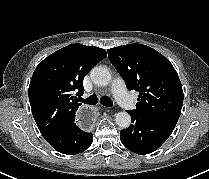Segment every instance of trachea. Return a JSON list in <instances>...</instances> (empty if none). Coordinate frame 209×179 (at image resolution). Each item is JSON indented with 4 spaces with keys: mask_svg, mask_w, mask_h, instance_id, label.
Listing matches in <instances>:
<instances>
[{
    "mask_svg": "<svg viewBox=\"0 0 209 179\" xmlns=\"http://www.w3.org/2000/svg\"><path fill=\"white\" fill-rule=\"evenodd\" d=\"M81 101L85 104L96 105L98 103V98L95 94H93V95L89 96L87 99H82ZM100 102L104 106H108V107H111L113 105V102L107 97H102L100 99Z\"/></svg>",
    "mask_w": 209,
    "mask_h": 179,
    "instance_id": "1",
    "label": "trachea"
}]
</instances>
